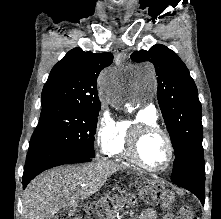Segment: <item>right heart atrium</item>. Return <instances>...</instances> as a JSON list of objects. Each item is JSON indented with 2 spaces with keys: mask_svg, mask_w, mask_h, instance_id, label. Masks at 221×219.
Here are the masks:
<instances>
[{
  "mask_svg": "<svg viewBox=\"0 0 221 219\" xmlns=\"http://www.w3.org/2000/svg\"><path fill=\"white\" fill-rule=\"evenodd\" d=\"M116 120L107 108H103L99 116L96 130H95V141L101 153L107 154V151L112 143Z\"/></svg>",
  "mask_w": 221,
  "mask_h": 219,
  "instance_id": "right-heart-atrium-1",
  "label": "right heart atrium"
}]
</instances>
